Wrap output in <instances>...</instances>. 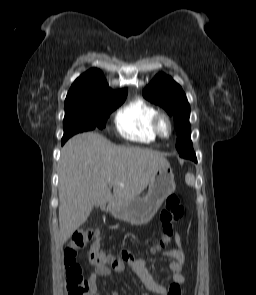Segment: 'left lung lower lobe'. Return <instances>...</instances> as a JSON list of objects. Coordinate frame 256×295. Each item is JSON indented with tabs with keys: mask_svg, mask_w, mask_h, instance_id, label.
Segmentation results:
<instances>
[{
	"mask_svg": "<svg viewBox=\"0 0 256 295\" xmlns=\"http://www.w3.org/2000/svg\"><path fill=\"white\" fill-rule=\"evenodd\" d=\"M187 158L197 162V159H196V155L194 153V150H190L188 151V153L186 154Z\"/></svg>",
	"mask_w": 256,
	"mask_h": 295,
	"instance_id": "1",
	"label": "left lung lower lobe"
}]
</instances>
